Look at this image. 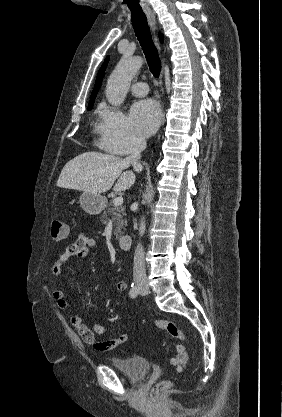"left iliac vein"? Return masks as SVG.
<instances>
[{"instance_id":"obj_1","label":"left iliac vein","mask_w":282,"mask_h":417,"mask_svg":"<svg viewBox=\"0 0 282 417\" xmlns=\"http://www.w3.org/2000/svg\"><path fill=\"white\" fill-rule=\"evenodd\" d=\"M141 295H147L149 293V287L144 286L142 289H140Z\"/></svg>"}]
</instances>
